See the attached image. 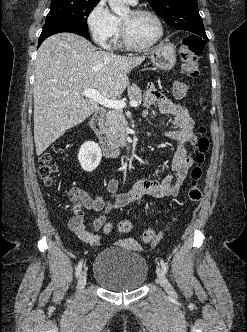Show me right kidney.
Masks as SVG:
<instances>
[{
  "instance_id": "ca27d5eb",
  "label": "right kidney",
  "mask_w": 247,
  "mask_h": 332,
  "mask_svg": "<svg viewBox=\"0 0 247 332\" xmlns=\"http://www.w3.org/2000/svg\"><path fill=\"white\" fill-rule=\"evenodd\" d=\"M102 157L99 145L93 141L82 144L78 153V160L84 171L91 172L98 167Z\"/></svg>"
}]
</instances>
